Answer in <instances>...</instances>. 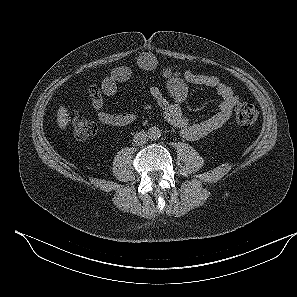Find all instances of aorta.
<instances>
[{
  "label": "aorta",
  "mask_w": 297,
  "mask_h": 297,
  "mask_svg": "<svg viewBox=\"0 0 297 297\" xmlns=\"http://www.w3.org/2000/svg\"><path fill=\"white\" fill-rule=\"evenodd\" d=\"M149 138L152 140L159 139L161 137V131L157 127H151L148 130Z\"/></svg>",
  "instance_id": "762f6f07"
}]
</instances>
